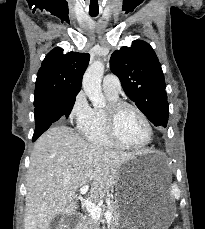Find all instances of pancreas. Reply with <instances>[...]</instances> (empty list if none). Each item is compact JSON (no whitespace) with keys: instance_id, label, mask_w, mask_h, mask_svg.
I'll return each mask as SVG.
<instances>
[{"instance_id":"obj_1","label":"pancreas","mask_w":205,"mask_h":229,"mask_svg":"<svg viewBox=\"0 0 205 229\" xmlns=\"http://www.w3.org/2000/svg\"><path fill=\"white\" fill-rule=\"evenodd\" d=\"M118 204L116 202L111 203L110 206L106 208V211L112 214V219L107 223L108 229H117L119 223V212H118ZM82 229H99L96 220L92 218H87L84 222Z\"/></svg>"}]
</instances>
